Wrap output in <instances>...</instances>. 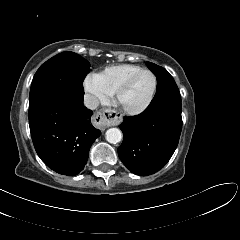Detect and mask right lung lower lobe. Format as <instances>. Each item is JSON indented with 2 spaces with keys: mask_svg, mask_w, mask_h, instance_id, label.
Segmentation results:
<instances>
[{
  "mask_svg": "<svg viewBox=\"0 0 240 240\" xmlns=\"http://www.w3.org/2000/svg\"><path fill=\"white\" fill-rule=\"evenodd\" d=\"M83 95L58 92L29 106V126L35 150L53 171L74 176L87 163L91 144L101 134L91 124Z\"/></svg>",
  "mask_w": 240,
  "mask_h": 240,
  "instance_id": "1",
  "label": "right lung lower lobe"
}]
</instances>
